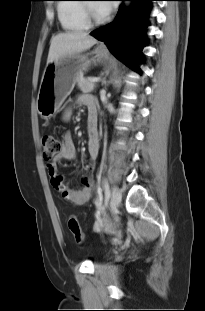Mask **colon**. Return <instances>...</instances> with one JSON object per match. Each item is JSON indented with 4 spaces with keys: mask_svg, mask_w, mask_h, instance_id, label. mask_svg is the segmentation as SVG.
<instances>
[{
    "mask_svg": "<svg viewBox=\"0 0 205 311\" xmlns=\"http://www.w3.org/2000/svg\"><path fill=\"white\" fill-rule=\"evenodd\" d=\"M61 142L51 136V135H45L42 138V149H43V159L46 162H50L53 157L60 151L61 149ZM68 229L70 233L72 234L75 242L77 244H82L84 242V233L80 227L79 221L76 217H70L68 219Z\"/></svg>",
    "mask_w": 205,
    "mask_h": 311,
    "instance_id": "obj_1",
    "label": "colon"
}]
</instances>
